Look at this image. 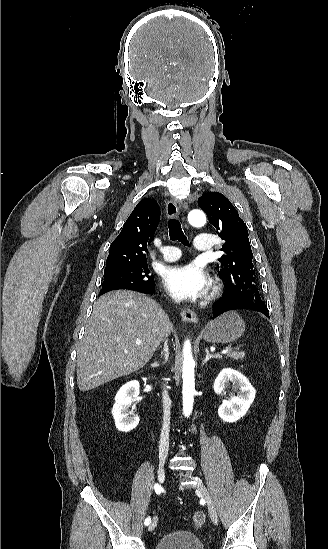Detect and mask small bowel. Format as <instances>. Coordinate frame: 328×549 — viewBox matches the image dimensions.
Here are the masks:
<instances>
[{
  "mask_svg": "<svg viewBox=\"0 0 328 549\" xmlns=\"http://www.w3.org/2000/svg\"><path fill=\"white\" fill-rule=\"evenodd\" d=\"M118 479H122V477L118 476Z\"/></svg>",
  "mask_w": 328,
  "mask_h": 549,
  "instance_id": "1",
  "label": "small bowel"
}]
</instances>
